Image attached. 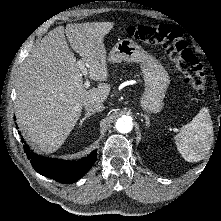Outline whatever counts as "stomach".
Returning <instances> with one entry per match:
<instances>
[{
  "instance_id": "1",
  "label": "stomach",
  "mask_w": 221,
  "mask_h": 221,
  "mask_svg": "<svg viewBox=\"0 0 221 221\" xmlns=\"http://www.w3.org/2000/svg\"><path fill=\"white\" fill-rule=\"evenodd\" d=\"M111 63H139L145 84L140 105L146 113H158L170 84V77L161 63L132 39H123L109 53Z\"/></svg>"
}]
</instances>
